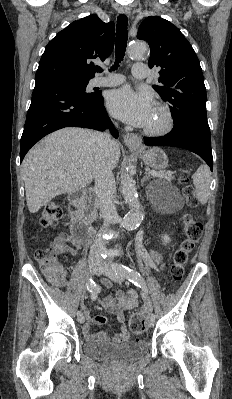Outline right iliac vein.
Listing matches in <instances>:
<instances>
[{
    "mask_svg": "<svg viewBox=\"0 0 232 399\" xmlns=\"http://www.w3.org/2000/svg\"><path fill=\"white\" fill-rule=\"evenodd\" d=\"M99 265H100L99 261H89L90 273H97V271L99 270ZM76 320L78 321L79 324H82L84 322V316L83 315L77 316Z\"/></svg>",
    "mask_w": 232,
    "mask_h": 399,
    "instance_id": "1",
    "label": "right iliac vein"
}]
</instances>
